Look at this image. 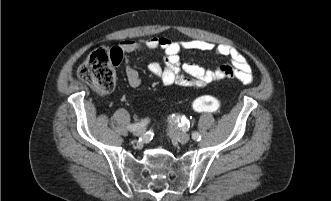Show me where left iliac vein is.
Listing matches in <instances>:
<instances>
[{"label":"left iliac vein","instance_id":"4c4485c4","mask_svg":"<svg viewBox=\"0 0 331 201\" xmlns=\"http://www.w3.org/2000/svg\"><path fill=\"white\" fill-rule=\"evenodd\" d=\"M173 138L180 143H187L190 140V136L187 133L176 134Z\"/></svg>","mask_w":331,"mask_h":201}]
</instances>
